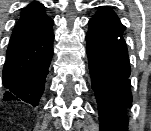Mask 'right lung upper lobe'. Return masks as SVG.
Wrapping results in <instances>:
<instances>
[{
    "label": "right lung upper lobe",
    "instance_id": "cb5924a9",
    "mask_svg": "<svg viewBox=\"0 0 151 131\" xmlns=\"http://www.w3.org/2000/svg\"><path fill=\"white\" fill-rule=\"evenodd\" d=\"M53 20L41 3L24 8L6 52L3 83L10 84L31 74L50 56L53 48Z\"/></svg>",
    "mask_w": 151,
    "mask_h": 131
}]
</instances>
